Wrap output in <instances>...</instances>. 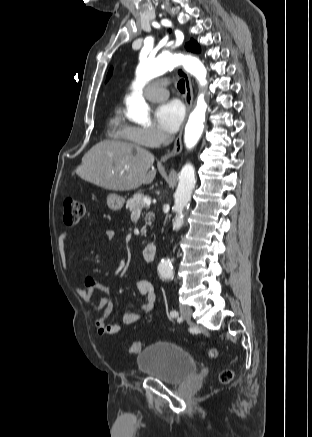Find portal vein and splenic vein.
Returning a JSON list of instances; mask_svg holds the SVG:
<instances>
[{
	"label": "portal vein and splenic vein",
	"mask_w": 312,
	"mask_h": 437,
	"mask_svg": "<svg viewBox=\"0 0 312 437\" xmlns=\"http://www.w3.org/2000/svg\"><path fill=\"white\" fill-rule=\"evenodd\" d=\"M143 201H144V203L146 204V205H150L151 204V198L150 197H144V199H143Z\"/></svg>",
	"instance_id": "portal-vein-and-splenic-vein-1"
}]
</instances>
